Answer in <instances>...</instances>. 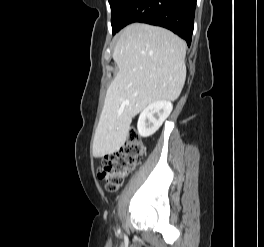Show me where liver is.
Masks as SVG:
<instances>
[{
  "label": "liver",
  "instance_id": "1",
  "mask_svg": "<svg viewBox=\"0 0 264 247\" xmlns=\"http://www.w3.org/2000/svg\"><path fill=\"white\" fill-rule=\"evenodd\" d=\"M186 43L171 31L133 23L120 33L109 85L93 140L96 158L124 145L132 119L148 104L176 100L186 78Z\"/></svg>",
  "mask_w": 264,
  "mask_h": 247
}]
</instances>
